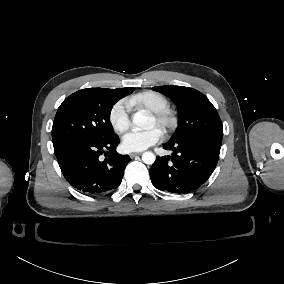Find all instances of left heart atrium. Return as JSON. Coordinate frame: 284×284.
I'll list each match as a JSON object with an SVG mask.
<instances>
[{
	"mask_svg": "<svg viewBox=\"0 0 284 284\" xmlns=\"http://www.w3.org/2000/svg\"><path fill=\"white\" fill-rule=\"evenodd\" d=\"M162 139L158 129L148 130L129 129L121 139V146L126 151H139L147 149Z\"/></svg>",
	"mask_w": 284,
	"mask_h": 284,
	"instance_id": "39dd6f15",
	"label": "left heart atrium"
}]
</instances>
